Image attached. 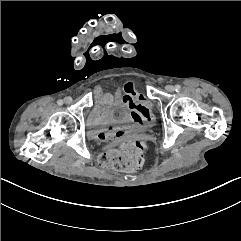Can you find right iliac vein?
Here are the masks:
<instances>
[{
    "mask_svg": "<svg viewBox=\"0 0 241 241\" xmlns=\"http://www.w3.org/2000/svg\"><path fill=\"white\" fill-rule=\"evenodd\" d=\"M72 102V98L70 96L65 97L64 103L65 104H70Z\"/></svg>",
    "mask_w": 241,
    "mask_h": 241,
    "instance_id": "right-iliac-vein-1",
    "label": "right iliac vein"
}]
</instances>
